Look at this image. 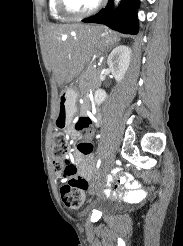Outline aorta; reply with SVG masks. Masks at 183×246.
<instances>
[{"label": "aorta", "instance_id": "aorta-1", "mask_svg": "<svg viewBox=\"0 0 183 246\" xmlns=\"http://www.w3.org/2000/svg\"><path fill=\"white\" fill-rule=\"evenodd\" d=\"M120 2V0H115V4L117 5Z\"/></svg>", "mask_w": 183, "mask_h": 246}]
</instances>
